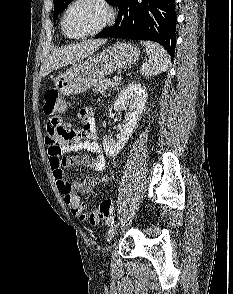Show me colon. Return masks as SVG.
<instances>
[{"instance_id":"colon-1","label":"colon","mask_w":233,"mask_h":294,"mask_svg":"<svg viewBox=\"0 0 233 294\" xmlns=\"http://www.w3.org/2000/svg\"><path fill=\"white\" fill-rule=\"evenodd\" d=\"M44 100V113L47 117H52L54 110H64L59 94L56 91H47L44 95ZM65 202L70 206L71 212L74 215L78 216L83 221L89 222L91 225L98 224L113 211V203L109 199L103 200L89 213L86 212L85 203L77 195L66 194Z\"/></svg>"}]
</instances>
